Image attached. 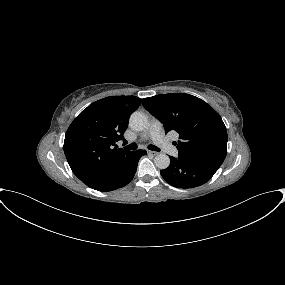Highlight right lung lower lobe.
Returning a JSON list of instances; mask_svg holds the SVG:
<instances>
[{
  "label": "right lung lower lobe",
  "mask_w": 285,
  "mask_h": 285,
  "mask_svg": "<svg viewBox=\"0 0 285 285\" xmlns=\"http://www.w3.org/2000/svg\"><path fill=\"white\" fill-rule=\"evenodd\" d=\"M146 151L137 150L133 152L130 159L117 171L105 177L98 178L86 185L98 191L108 192L124 187L133 179L137 164L141 156L145 155Z\"/></svg>",
  "instance_id": "obj_1"
}]
</instances>
